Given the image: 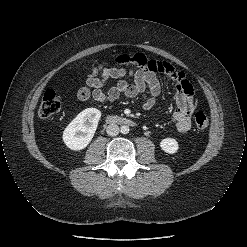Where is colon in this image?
Listing matches in <instances>:
<instances>
[{
  "label": "colon",
  "mask_w": 247,
  "mask_h": 247,
  "mask_svg": "<svg viewBox=\"0 0 247 247\" xmlns=\"http://www.w3.org/2000/svg\"><path fill=\"white\" fill-rule=\"evenodd\" d=\"M106 63L100 64L97 67L91 69L90 73L95 74L97 73ZM61 108V101L56 95V93L52 90H48L45 92L42 102L40 105L39 113L43 118H49L52 115L59 112ZM195 125L198 129H205L207 128L209 121L208 117L203 112H197L194 117Z\"/></svg>",
  "instance_id": "colon-1"
}]
</instances>
